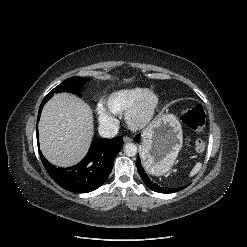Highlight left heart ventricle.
Here are the masks:
<instances>
[{"mask_svg": "<svg viewBox=\"0 0 247 247\" xmlns=\"http://www.w3.org/2000/svg\"><path fill=\"white\" fill-rule=\"evenodd\" d=\"M150 105H151V101L150 100L146 101L143 107L141 108L140 115L145 114L149 110Z\"/></svg>", "mask_w": 247, "mask_h": 247, "instance_id": "obj_1", "label": "left heart ventricle"}]
</instances>
